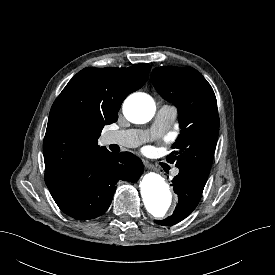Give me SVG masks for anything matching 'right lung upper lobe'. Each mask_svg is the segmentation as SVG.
<instances>
[{
  "mask_svg": "<svg viewBox=\"0 0 275 275\" xmlns=\"http://www.w3.org/2000/svg\"><path fill=\"white\" fill-rule=\"evenodd\" d=\"M151 66L85 68L65 86L50 110L43 142L45 183L57 186L79 163L98 154L104 125L118 119L123 100L141 88Z\"/></svg>",
  "mask_w": 275,
  "mask_h": 275,
  "instance_id": "right-lung-upper-lobe-1",
  "label": "right lung upper lobe"
}]
</instances>
